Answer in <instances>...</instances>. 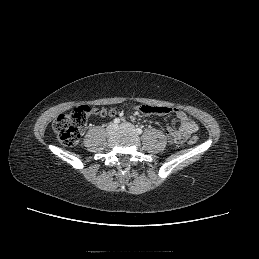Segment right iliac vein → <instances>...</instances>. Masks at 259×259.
I'll use <instances>...</instances> for the list:
<instances>
[{"label":"right iliac vein","mask_w":259,"mask_h":259,"mask_svg":"<svg viewBox=\"0 0 259 259\" xmlns=\"http://www.w3.org/2000/svg\"><path fill=\"white\" fill-rule=\"evenodd\" d=\"M117 125H115V124H109L108 125V127H107V133H108V135H112V134H114L116 131H117Z\"/></svg>","instance_id":"63e3f726"}]
</instances>
